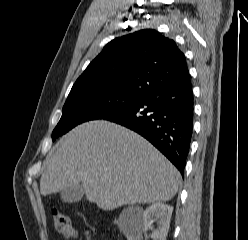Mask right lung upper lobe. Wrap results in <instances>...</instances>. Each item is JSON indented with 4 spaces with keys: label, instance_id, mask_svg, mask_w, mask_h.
<instances>
[{
    "label": "right lung upper lobe",
    "instance_id": "right-lung-upper-lobe-1",
    "mask_svg": "<svg viewBox=\"0 0 248 240\" xmlns=\"http://www.w3.org/2000/svg\"><path fill=\"white\" fill-rule=\"evenodd\" d=\"M188 76L185 55L176 43L145 29L109 42L71 90L112 88L145 96Z\"/></svg>",
    "mask_w": 248,
    "mask_h": 240
}]
</instances>
